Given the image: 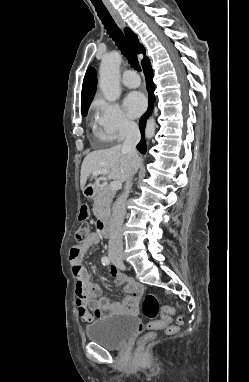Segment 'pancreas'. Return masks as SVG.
<instances>
[{
    "label": "pancreas",
    "mask_w": 249,
    "mask_h": 382,
    "mask_svg": "<svg viewBox=\"0 0 249 382\" xmlns=\"http://www.w3.org/2000/svg\"><path fill=\"white\" fill-rule=\"evenodd\" d=\"M113 197L114 192L109 188V186L97 187L93 204V213L97 218H102L109 213L110 204Z\"/></svg>",
    "instance_id": "cf45deb5"
}]
</instances>
